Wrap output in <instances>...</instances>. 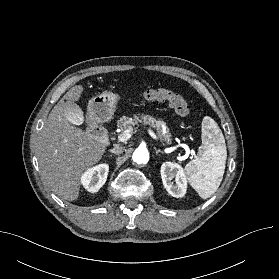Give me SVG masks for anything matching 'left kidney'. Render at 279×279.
Masks as SVG:
<instances>
[{
	"label": "left kidney",
	"mask_w": 279,
	"mask_h": 279,
	"mask_svg": "<svg viewBox=\"0 0 279 279\" xmlns=\"http://www.w3.org/2000/svg\"><path fill=\"white\" fill-rule=\"evenodd\" d=\"M161 178L167 192L176 198H181L187 190V176L183 168L173 162H165L161 166ZM175 179V183L172 181Z\"/></svg>",
	"instance_id": "obj_1"
}]
</instances>
